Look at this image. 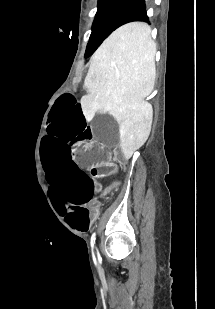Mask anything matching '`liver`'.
<instances>
[{
	"mask_svg": "<svg viewBox=\"0 0 215 309\" xmlns=\"http://www.w3.org/2000/svg\"><path fill=\"white\" fill-rule=\"evenodd\" d=\"M156 42L146 22H128L105 38L92 54L80 102L87 118L109 112L119 124L120 146L128 161L146 142L153 110L144 100L153 90Z\"/></svg>",
	"mask_w": 215,
	"mask_h": 309,
	"instance_id": "6515ba94",
	"label": "liver"
}]
</instances>
